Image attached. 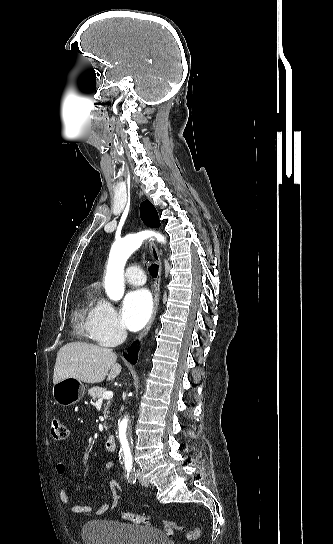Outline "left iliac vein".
Masks as SVG:
<instances>
[{"instance_id": "left-iliac-vein-1", "label": "left iliac vein", "mask_w": 333, "mask_h": 544, "mask_svg": "<svg viewBox=\"0 0 333 544\" xmlns=\"http://www.w3.org/2000/svg\"><path fill=\"white\" fill-rule=\"evenodd\" d=\"M137 477H138V480L139 482L143 485V486H148V481L143 478V476L141 475V473L139 471H137V473L135 474Z\"/></svg>"}]
</instances>
